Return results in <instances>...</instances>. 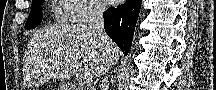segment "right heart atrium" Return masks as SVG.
Masks as SVG:
<instances>
[{
    "label": "right heart atrium",
    "mask_w": 216,
    "mask_h": 90,
    "mask_svg": "<svg viewBox=\"0 0 216 90\" xmlns=\"http://www.w3.org/2000/svg\"><path fill=\"white\" fill-rule=\"evenodd\" d=\"M62 3H67L68 6H77L73 8L77 12L71 16V20H91L100 13L98 2L95 0H62Z\"/></svg>",
    "instance_id": "obj_1"
}]
</instances>
